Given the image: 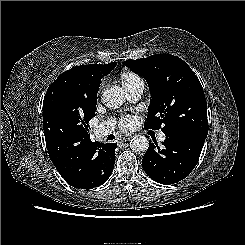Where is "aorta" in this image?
<instances>
[{
  "instance_id": "obj_1",
  "label": "aorta",
  "mask_w": 245,
  "mask_h": 245,
  "mask_svg": "<svg viewBox=\"0 0 245 245\" xmlns=\"http://www.w3.org/2000/svg\"><path fill=\"white\" fill-rule=\"evenodd\" d=\"M124 90L119 86H112L104 90L102 103L109 108H118L124 102ZM149 147L148 139L143 135H136L131 139L130 148L134 152H145Z\"/></svg>"
}]
</instances>
